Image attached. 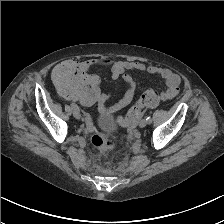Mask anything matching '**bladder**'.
Here are the masks:
<instances>
[{"mask_svg":"<svg viewBox=\"0 0 224 224\" xmlns=\"http://www.w3.org/2000/svg\"><path fill=\"white\" fill-rule=\"evenodd\" d=\"M97 124L103 131H112L115 127L112 111H105L97 118Z\"/></svg>","mask_w":224,"mask_h":224,"instance_id":"bladder-1","label":"bladder"}]
</instances>
